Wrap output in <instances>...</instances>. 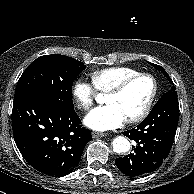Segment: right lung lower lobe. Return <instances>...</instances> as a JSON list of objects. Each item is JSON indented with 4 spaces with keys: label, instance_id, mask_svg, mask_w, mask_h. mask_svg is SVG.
Returning <instances> with one entry per match:
<instances>
[{
    "label": "right lung lower lobe",
    "instance_id": "obj_1",
    "mask_svg": "<svg viewBox=\"0 0 194 194\" xmlns=\"http://www.w3.org/2000/svg\"><path fill=\"white\" fill-rule=\"evenodd\" d=\"M73 101L40 93L14 97L12 130L22 156L46 175H68L78 165L91 131L80 127Z\"/></svg>",
    "mask_w": 194,
    "mask_h": 194
}]
</instances>
